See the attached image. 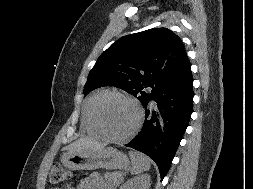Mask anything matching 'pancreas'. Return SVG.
<instances>
[{"label": "pancreas", "instance_id": "obj_1", "mask_svg": "<svg viewBox=\"0 0 253 189\" xmlns=\"http://www.w3.org/2000/svg\"><path fill=\"white\" fill-rule=\"evenodd\" d=\"M104 178L109 185L116 187L121 183L123 174L121 172H107Z\"/></svg>", "mask_w": 253, "mask_h": 189}]
</instances>
